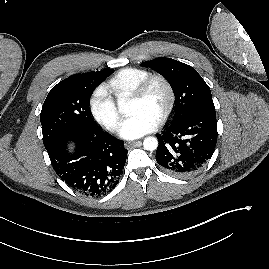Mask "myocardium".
<instances>
[{
    "label": "myocardium",
    "mask_w": 269,
    "mask_h": 269,
    "mask_svg": "<svg viewBox=\"0 0 269 269\" xmlns=\"http://www.w3.org/2000/svg\"><path fill=\"white\" fill-rule=\"evenodd\" d=\"M155 83L162 84L167 93L166 105L157 120V123L161 125L168 119L175 104V90L172 83L167 77L161 74H150L138 84V86L134 89V91L130 95V98L131 100H141L145 98L148 91Z\"/></svg>",
    "instance_id": "f54148a6"
}]
</instances>
